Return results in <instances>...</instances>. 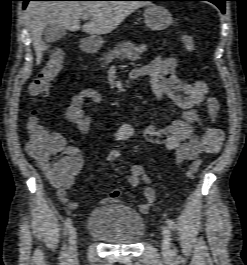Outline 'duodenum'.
<instances>
[{"mask_svg":"<svg viewBox=\"0 0 247 265\" xmlns=\"http://www.w3.org/2000/svg\"><path fill=\"white\" fill-rule=\"evenodd\" d=\"M81 51L84 54H92V53H95L97 51L96 44L93 41H91L89 39H86L81 44Z\"/></svg>","mask_w":247,"mask_h":265,"instance_id":"1","label":"duodenum"}]
</instances>
